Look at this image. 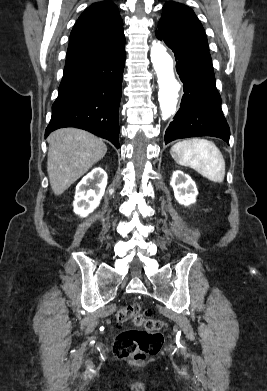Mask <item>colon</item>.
I'll return each instance as SVG.
<instances>
[{
  "label": "colon",
  "mask_w": 267,
  "mask_h": 391,
  "mask_svg": "<svg viewBox=\"0 0 267 391\" xmlns=\"http://www.w3.org/2000/svg\"><path fill=\"white\" fill-rule=\"evenodd\" d=\"M118 323L131 321L138 329L125 330L117 335L113 352L119 358L144 361L157 354L164 343L163 323L150 318V312L138 304L122 306L116 315Z\"/></svg>",
  "instance_id": "1"
}]
</instances>
